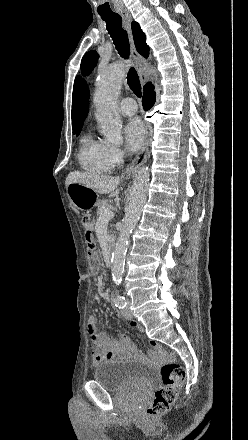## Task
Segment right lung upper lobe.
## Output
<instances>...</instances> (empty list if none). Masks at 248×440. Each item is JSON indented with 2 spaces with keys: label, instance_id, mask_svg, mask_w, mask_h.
Instances as JSON below:
<instances>
[{
  "label": "right lung upper lobe",
  "instance_id": "right-lung-upper-lobe-1",
  "mask_svg": "<svg viewBox=\"0 0 248 440\" xmlns=\"http://www.w3.org/2000/svg\"><path fill=\"white\" fill-rule=\"evenodd\" d=\"M132 33L137 51L144 57L149 55V47L146 44V36L137 22H132ZM89 90L85 82L77 77L74 81L72 97V127L73 131L81 130L83 122L88 114Z\"/></svg>",
  "mask_w": 248,
  "mask_h": 440
}]
</instances>
